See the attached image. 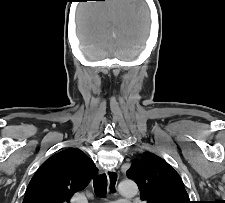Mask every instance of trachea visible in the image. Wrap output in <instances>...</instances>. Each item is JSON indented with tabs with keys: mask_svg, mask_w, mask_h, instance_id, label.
<instances>
[{
	"mask_svg": "<svg viewBox=\"0 0 225 203\" xmlns=\"http://www.w3.org/2000/svg\"><path fill=\"white\" fill-rule=\"evenodd\" d=\"M93 186L96 195L105 197L107 194V177L105 174L99 175L93 179Z\"/></svg>",
	"mask_w": 225,
	"mask_h": 203,
	"instance_id": "obj_1",
	"label": "trachea"
}]
</instances>
